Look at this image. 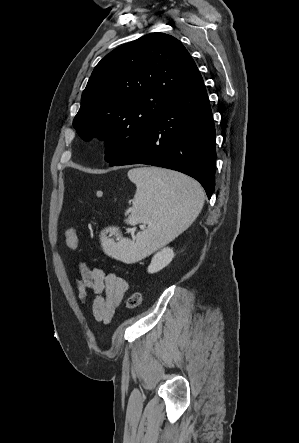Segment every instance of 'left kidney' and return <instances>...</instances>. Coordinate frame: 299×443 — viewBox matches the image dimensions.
Wrapping results in <instances>:
<instances>
[{
	"instance_id": "5707ae66",
	"label": "left kidney",
	"mask_w": 299,
	"mask_h": 443,
	"mask_svg": "<svg viewBox=\"0 0 299 443\" xmlns=\"http://www.w3.org/2000/svg\"><path fill=\"white\" fill-rule=\"evenodd\" d=\"M174 252L172 248H163L160 252H157L151 260L148 266L149 273H156L166 267L173 259Z\"/></svg>"
}]
</instances>
